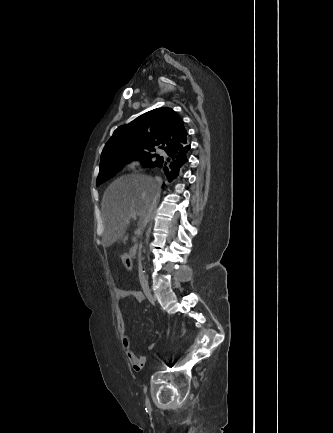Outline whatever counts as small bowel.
Returning <instances> with one entry per match:
<instances>
[{
    "mask_svg": "<svg viewBox=\"0 0 333 433\" xmlns=\"http://www.w3.org/2000/svg\"><path fill=\"white\" fill-rule=\"evenodd\" d=\"M116 298L118 301L124 299H134L135 301L141 302L144 299V294L141 291L133 289L118 288L115 291ZM118 329L121 337V344L126 351L127 359L134 370H141L145 363V357L138 356L131 347L130 336L126 330V324L123 315L120 313L118 317ZM154 344L149 346V349H153Z\"/></svg>",
    "mask_w": 333,
    "mask_h": 433,
    "instance_id": "c3829d8e",
    "label": "small bowel"
}]
</instances>
